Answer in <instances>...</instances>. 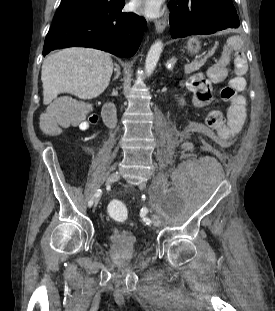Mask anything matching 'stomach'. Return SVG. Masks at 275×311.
Returning a JSON list of instances; mask_svg holds the SVG:
<instances>
[{
  "label": "stomach",
  "instance_id": "0dacf381",
  "mask_svg": "<svg viewBox=\"0 0 275 311\" xmlns=\"http://www.w3.org/2000/svg\"><path fill=\"white\" fill-rule=\"evenodd\" d=\"M187 49L190 53H197L200 50V43L192 39L188 42Z\"/></svg>",
  "mask_w": 275,
  "mask_h": 311
}]
</instances>
